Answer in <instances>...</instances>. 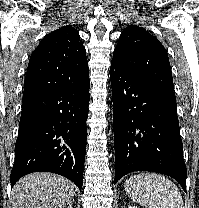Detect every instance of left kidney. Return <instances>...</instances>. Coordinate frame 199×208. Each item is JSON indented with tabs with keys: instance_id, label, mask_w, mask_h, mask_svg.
Wrapping results in <instances>:
<instances>
[{
	"instance_id": "5707ae66",
	"label": "left kidney",
	"mask_w": 199,
	"mask_h": 208,
	"mask_svg": "<svg viewBox=\"0 0 199 208\" xmlns=\"http://www.w3.org/2000/svg\"><path fill=\"white\" fill-rule=\"evenodd\" d=\"M128 208H138L137 206H129Z\"/></svg>"
}]
</instances>
